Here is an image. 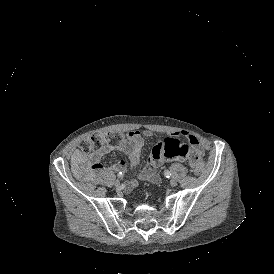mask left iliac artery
<instances>
[{
  "instance_id": "left-iliac-artery-1",
  "label": "left iliac artery",
  "mask_w": 274,
  "mask_h": 274,
  "mask_svg": "<svg viewBox=\"0 0 274 274\" xmlns=\"http://www.w3.org/2000/svg\"><path fill=\"white\" fill-rule=\"evenodd\" d=\"M164 175L166 178H170L171 177V172L169 170L164 171Z\"/></svg>"
}]
</instances>
